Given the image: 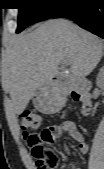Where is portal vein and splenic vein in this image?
<instances>
[{"instance_id":"1","label":"portal vein and splenic vein","mask_w":104,"mask_h":169,"mask_svg":"<svg viewBox=\"0 0 104 169\" xmlns=\"http://www.w3.org/2000/svg\"><path fill=\"white\" fill-rule=\"evenodd\" d=\"M62 64H63V65H69V62L66 61V60H64V61L62 62Z\"/></svg>"}]
</instances>
